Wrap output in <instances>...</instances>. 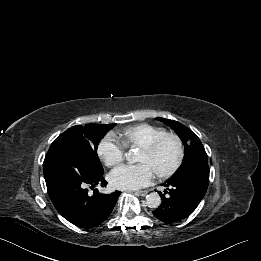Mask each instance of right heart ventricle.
Instances as JSON below:
<instances>
[{
  "label": "right heart ventricle",
  "mask_w": 261,
  "mask_h": 261,
  "mask_svg": "<svg viewBox=\"0 0 261 261\" xmlns=\"http://www.w3.org/2000/svg\"><path fill=\"white\" fill-rule=\"evenodd\" d=\"M166 132L164 128L140 123L124 128L116 134L118 140L125 147L130 149H140L158 135Z\"/></svg>",
  "instance_id": "right-heart-ventricle-1"
}]
</instances>
